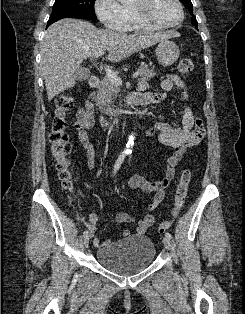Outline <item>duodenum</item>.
<instances>
[{"instance_id":"1","label":"duodenum","mask_w":245,"mask_h":314,"mask_svg":"<svg viewBox=\"0 0 245 314\" xmlns=\"http://www.w3.org/2000/svg\"><path fill=\"white\" fill-rule=\"evenodd\" d=\"M101 80L100 77L97 75H92L89 78V86L91 88H98L100 86ZM144 95L141 93H133L128 96H126L123 99V108L129 110L133 106L140 104L144 100ZM90 105V110L93 111L95 110V106L92 103H89ZM124 115H118L115 118L112 119H106L101 117V125L105 130H111L114 129L115 127H118L121 125L123 122Z\"/></svg>"}]
</instances>
